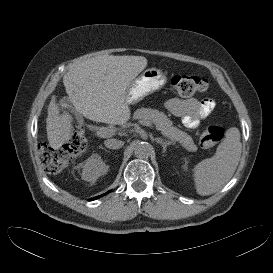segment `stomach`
I'll list each match as a JSON object with an SVG mask.
<instances>
[{
	"label": "stomach",
	"instance_id": "1",
	"mask_svg": "<svg viewBox=\"0 0 273 273\" xmlns=\"http://www.w3.org/2000/svg\"><path fill=\"white\" fill-rule=\"evenodd\" d=\"M167 81L164 72L157 68H149L135 78L127 88L126 101L135 104L146 96L162 88Z\"/></svg>",
	"mask_w": 273,
	"mask_h": 273
}]
</instances>
